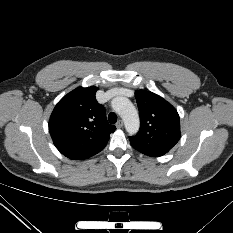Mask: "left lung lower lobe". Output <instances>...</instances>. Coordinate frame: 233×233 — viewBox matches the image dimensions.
Instances as JSON below:
<instances>
[{
	"label": "left lung lower lobe",
	"instance_id": "1",
	"mask_svg": "<svg viewBox=\"0 0 233 233\" xmlns=\"http://www.w3.org/2000/svg\"><path fill=\"white\" fill-rule=\"evenodd\" d=\"M131 145H132V147H133L134 149L138 150L133 144H131ZM138 151H140V150H138ZM140 152L143 153V154H145V155L151 156V155L147 154L146 152H143V151H140Z\"/></svg>",
	"mask_w": 233,
	"mask_h": 233
}]
</instances>
